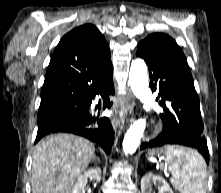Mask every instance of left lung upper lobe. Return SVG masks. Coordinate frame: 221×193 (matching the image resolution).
Segmentation results:
<instances>
[{
	"mask_svg": "<svg viewBox=\"0 0 221 193\" xmlns=\"http://www.w3.org/2000/svg\"><path fill=\"white\" fill-rule=\"evenodd\" d=\"M140 44L157 53L186 60V57L177 43L167 34L153 33L147 36Z\"/></svg>",
	"mask_w": 221,
	"mask_h": 193,
	"instance_id": "obj_1",
	"label": "left lung upper lobe"
}]
</instances>
